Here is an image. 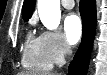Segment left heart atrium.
Here are the masks:
<instances>
[{"label": "left heart atrium", "mask_w": 107, "mask_h": 75, "mask_svg": "<svg viewBox=\"0 0 107 75\" xmlns=\"http://www.w3.org/2000/svg\"><path fill=\"white\" fill-rule=\"evenodd\" d=\"M65 34L70 44H76L83 32L82 21L79 16L75 14L69 15L64 22Z\"/></svg>", "instance_id": "1"}]
</instances>
